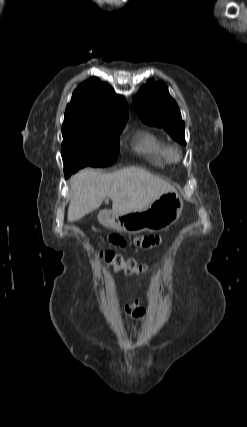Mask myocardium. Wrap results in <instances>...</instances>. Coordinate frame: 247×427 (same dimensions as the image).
<instances>
[{
  "label": "myocardium",
  "instance_id": "obj_1",
  "mask_svg": "<svg viewBox=\"0 0 247 427\" xmlns=\"http://www.w3.org/2000/svg\"><path fill=\"white\" fill-rule=\"evenodd\" d=\"M172 158L178 160L180 158V153L178 151H172Z\"/></svg>",
  "mask_w": 247,
  "mask_h": 427
}]
</instances>
